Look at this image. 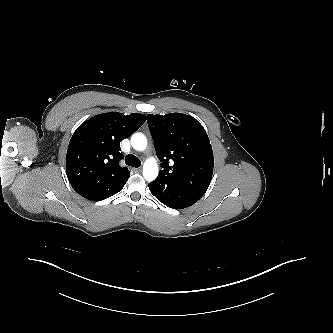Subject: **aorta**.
Returning a JSON list of instances; mask_svg holds the SVG:
<instances>
[{"instance_id": "1", "label": "aorta", "mask_w": 333, "mask_h": 333, "mask_svg": "<svg viewBox=\"0 0 333 333\" xmlns=\"http://www.w3.org/2000/svg\"><path fill=\"white\" fill-rule=\"evenodd\" d=\"M131 145L137 151H143L147 147V138L142 133H135L131 137ZM158 165L154 158H149L143 165V177L146 181H153L158 176Z\"/></svg>"}]
</instances>
